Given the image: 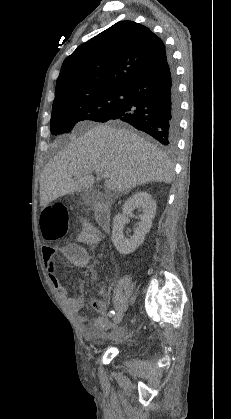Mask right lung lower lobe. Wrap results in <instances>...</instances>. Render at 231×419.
I'll return each mask as SVG.
<instances>
[{
	"label": "right lung lower lobe",
	"instance_id": "right-lung-lower-lobe-1",
	"mask_svg": "<svg viewBox=\"0 0 231 419\" xmlns=\"http://www.w3.org/2000/svg\"><path fill=\"white\" fill-rule=\"evenodd\" d=\"M179 115L178 88L167 59L130 84L123 103L103 122L122 120L172 147L178 134Z\"/></svg>",
	"mask_w": 231,
	"mask_h": 419
}]
</instances>
